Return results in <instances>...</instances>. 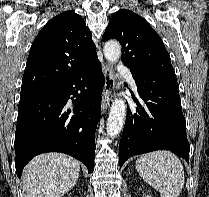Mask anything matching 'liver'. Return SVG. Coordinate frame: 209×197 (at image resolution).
I'll use <instances>...</instances> for the list:
<instances>
[{
	"label": "liver",
	"mask_w": 209,
	"mask_h": 197,
	"mask_svg": "<svg viewBox=\"0 0 209 197\" xmlns=\"http://www.w3.org/2000/svg\"><path fill=\"white\" fill-rule=\"evenodd\" d=\"M80 163L62 153H45L33 158L22 175L25 197H62L78 178Z\"/></svg>",
	"instance_id": "1"
}]
</instances>
